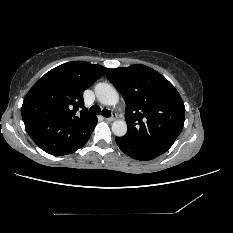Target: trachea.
Masks as SVG:
<instances>
[{"mask_svg":"<svg viewBox=\"0 0 233 233\" xmlns=\"http://www.w3.org/2000/svg\"><path fill=\"white\" fill-rule=\"evenodd\" d=\"M100 107L98 106V105H93V106H91V108H90V113L92 114V115H98L99 113H100ZM101 114L104 116V117H107V118H109L110 116H111V112L109 111V110H107V109H103L102 111H101Z\"/></svg>","mask_w":233,"mask_h":233,"instance_id":"1","label":"trachea"}]
</instances>
